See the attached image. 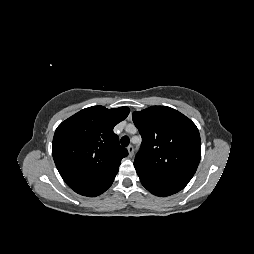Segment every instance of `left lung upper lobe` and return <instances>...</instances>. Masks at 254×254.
I'll return each mask as SVG.
<instances>
[{
  "label": "left lung upper lobe",
  "instance_id": "left-lung-upper-lobe-1",
  "mask_svg": "<svg viewBox=\"0 0 254 254\" xmlns=\"http://www.w3.org/2000/svg\"><path fill=\"white\" fill-rule=\"evenodd\" d=\"M132 118L142 137L134 166L155 176L188 183L201 158L196 125L167 106L135 111Z\"/></svg>",
  "mask_w": 254,
  "mask_h": 254
}]
</instances>
